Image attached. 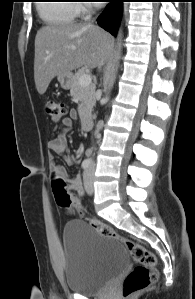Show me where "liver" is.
Here are the masks:
<instances>
[{
    "mask_svg": "<svg viewBox=\"0 0 195 299\" xmlns=\"http://www.w3.org/2000/svg\"><path fill=\"white\" fill-rule=\"evenodd\" d=\"M112 49V37L92 24L63 23L47 25L35 37L34 79L43 95L51 80L82 66L104 65Z\"/></svg>",
    "mask_w": 195,
    "mask_h": 299,
    "instance_id": "liver-1",
    "label": "liver"
}]
</instances>
